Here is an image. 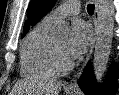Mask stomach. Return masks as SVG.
I'll list each match as a JSON object with an SVG mask.
<instances>
[{"mask_svg":"<svg viewBox=\"0 0 119 95\" xmlns=\"http://www.w3.org/2000/svg\"><path fill=\"white\" fill-rule=\"evenodd\" d=\"M65 95H74V94L72 92L66 91V94Z\"/></svg>","mask_w":119,"mask_h":95,"instance_id":"stomach-1","label":"stomach"}]
</instances>
